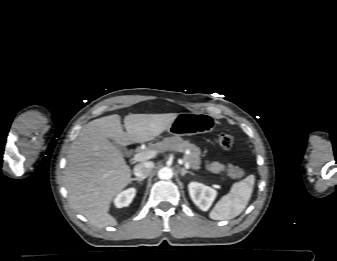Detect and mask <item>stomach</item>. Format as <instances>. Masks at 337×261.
Masks as SVG:
<instances>
[{"mask_svg": "<svg viewBox=\"0 0 337 261\" xmlns=\"http://www.w3.org/2000/svg\"><path fill=\"white\" fill-rule=\"evenodd\" d=\"M214 118L207 113L182 112L177 115L167 131L174 136H192L211 132Z\"/></svg>", "mask_w": 337, "mask_h": 261, "instance_id": "stomach-1", "label": "stomach"}]
</instances>
